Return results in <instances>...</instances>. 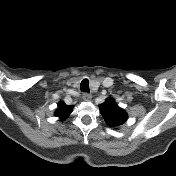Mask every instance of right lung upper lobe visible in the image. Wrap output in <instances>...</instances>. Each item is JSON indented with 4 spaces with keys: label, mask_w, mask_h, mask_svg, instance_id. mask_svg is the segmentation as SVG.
I'll return each mask as SVG.
<instances>
[{
    "label": "right lung upper lobe",
    "mask_w": 176,
    "mask_h": 176,
    "mask_svg": "<svg viewBox=\"0 0 176 176\" xmlns=\"http://www.w3.org/2000/svg\"><path fill=\"white\" fill-rule=\"evenodd\" d=\"M72 112V106L66 105L64 102L58 104V109L55 112V115L60 119H65Z\"/></svg>",
    "instance_id": "cb5924a9"
}]
</instances>
